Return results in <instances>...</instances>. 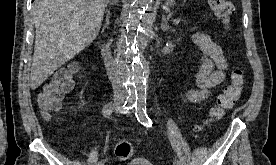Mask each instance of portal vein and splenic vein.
Masks as SVG:
<instances>
[{"instance_id": "18ae733b", "label": "portal vein and splenic vein", "mask_w": 276, "mask_h": 165, "mask_svg": "<svg viewBox=\"0 0 276 165\" xmlns=\"http://www.w3.org/2000/svg\"><path fill=\"white\" fill-rule=\"evenodd\" d=\"M173 23H174V24L180 23V18L174 19V20H173Z\"/></svg>"}]
</instances>
